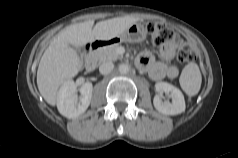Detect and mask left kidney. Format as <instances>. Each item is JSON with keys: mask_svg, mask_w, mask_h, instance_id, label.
<instances>
[{"mask_svg": "<svg viewBox=\"0 0 238 158\" xmlns=\"http://www.w3.org/2000/svg\"><path fill=\"white\" fill-rule=\"evenodd\" d=\"M155 88L157 94L153 99V104L157 111L166 115H177L185 111V99L177 87L167 82H157ZM163 92L171 97V103L169 101H162L161 94Z\"/></svg>", "mask_w": 238, "mask_h": 158, "instance_id": "left-kidney-1", "label": "left kidney"}]
</instances>
